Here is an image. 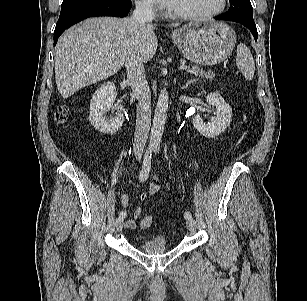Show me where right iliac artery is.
<instances>
[{
	"label": "right iliac artery",
	"instance_id": "82829eb1",
	"mask_svg": "<svg viewBox=\"0 0 307 301\" xmlns=\"http://www.w3.org/2000/svg\"><path fill=\"white\" fill-rule=\"evenodd\" d=\"M153 150H154V148L149 147L147 149L146 153H145L143 164H142V169H141L140 174H139V179L142 182L146 181V179L148 178V174H149L150 168H151V158H152V151ZM126 215H127V213L125 211H121L119 213V217H121V218H125Z\"/></svg>",
	"mask_w": 307,
	"mask_h": 301
}]
</instances>
